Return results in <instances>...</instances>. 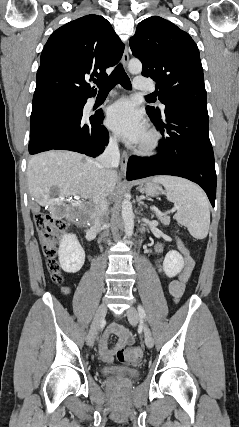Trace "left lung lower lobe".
<instances>
[{
    "instance_id": "left-lung-lower-lobe-1",
    "label": "left lung lower lobe",
    "mask_w": 239,
    "mask_h": 427,
    "mask_svg": "<svg viewBox=\"0 0 239 427\" xmlns=\"http://www.w3.org/2000/svg\"><path fill=\"white\" fill-rule=\"evenodd\" d=\"M146 111L155 127L161 131L163 139L155 156L129 158L127 179L153 175L183 177L199 184L214 207L216 172L213 148L208 135V114L166 107L162 119L161 116Z\"/></svg>"
}]
</instances>
